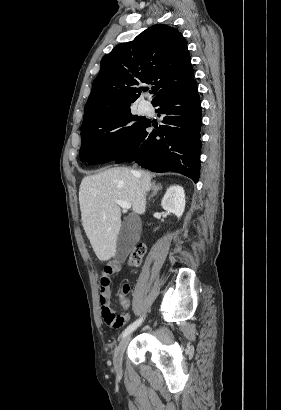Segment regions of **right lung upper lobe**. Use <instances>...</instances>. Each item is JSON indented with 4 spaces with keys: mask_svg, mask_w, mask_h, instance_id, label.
<instances>
[{
    "mask_svg": "<svg viewBox=\"0 0 281 410\" xmlns=\"http://www.w3.org/2000/svg\"><path fill=\"white\" fill-rule=\"evenodd\" d=\"M194 81L189 51L174 27L157 24L133 41L117 45L102 58L100 71L84 109L83 123L130 107L143 90L140 83L154 84L153 101Z\"/></svg>",
    "mask_w": 281,
    "mask_h": 410,
    "instance_id": "obj_1",
    "label": "right lung upper lobe"
}]
</instances>
